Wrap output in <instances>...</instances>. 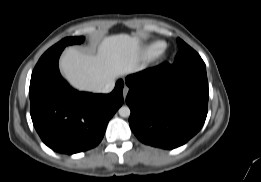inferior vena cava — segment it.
I'll return each instance as SVG.
<instances>
[{
	"instance_id": "1",
	"label": "inferior vena cava",
	"mask_w": 261,
	"mask_h": 182,
	"mask_svg": "<svg viewBox=\"0 0 261 182\" xmlns=\"http://www.w3.org/2000/svg\"><path fill=\"white\" fill-rule=\"evenodd\" d=\"M113 89H114V82L111 81V82L105 84L104 86H102L101 88H99L98 92L110 93Z\"/></svg>"
}]
</instances>
